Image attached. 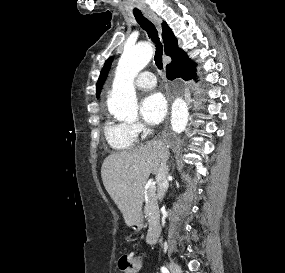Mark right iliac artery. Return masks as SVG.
Returning a JSON list of instances; mask_svg holds the SVG:
<instances>
[{"mask_svg": "<svg viewBox=\"0 0 285 273\" xmlns=\"http://www.w3.org/2000/svg\"><path fill=\"white\" fill-rule=\"evenodd\" d=\"M161 272L162 273H169L168 269L166 267H161Z\"/></svg>", "mask_w": 285, "mask_h": 273, "instance_id": "1", "label": "right iliac artery"}]
</instances>
